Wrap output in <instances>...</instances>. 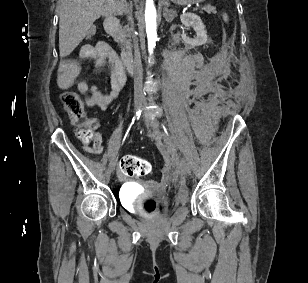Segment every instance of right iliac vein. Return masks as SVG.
I'll return each instance as SVG.
<instances>
[{
	"instance_id": "right-iliac-vein-1",
	"label": "right iliac vein",
	"mask_w": 308,
	"mask_h": 283,
	"mask_svg": "<svg viewBox=\"0 0 308 283\" xmlns=\"http://www.w3.org/2000/svg\"><path fill=\"white\" fill-rule=\"evenodd\" d=\"M142 102H143V101H142V98H141V97H137V98L135 99V104H134V112H135V113L139 110V108H140ZM117 162H118V157L116 156L115 159H114V162H113V167H114V168L116 167Z\"/></svg>"
}]
</instances>
